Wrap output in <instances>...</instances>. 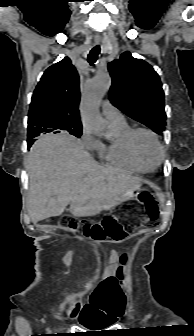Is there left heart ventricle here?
<instances>
[{
	"label": "left heart ventricle",
	"mask_w": 194,
	"mask_h": 336,
	"mask_svg": "<svg viewBox=\"0 0 194 336\" xmlns=\"http://www.w3.org/2000/svg\"><path fill=\"white\" fill-rule=\"evenodd\" d=\"M137 148L141 157L148 163L155 164L159 160V149L150 135L145 133L138 134Z\"/></svg>",
	"instance_id": "1"
}]
</instances>
